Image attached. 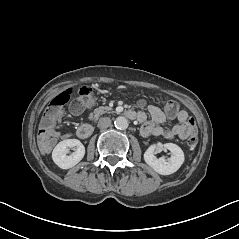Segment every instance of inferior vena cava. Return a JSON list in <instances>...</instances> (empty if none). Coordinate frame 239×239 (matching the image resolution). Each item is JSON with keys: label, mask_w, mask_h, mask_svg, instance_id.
I'll return each mask as SVG.
<instances>
[{"label": "inferior vena cava", "mask_w": 239, "mask_h": 239, "mask_svg": "<svg viewBox=\"0 0 239 239\" xmlns=\"http://www.w3.org/2000/svg\"><path fill=\"white\" fill-rule=\"evenodd\" d=\"M111 125V119L109 117L100 118L98 121L99 128H108Z\"/></svg>", "instance_id": "1"}]
</instances>
